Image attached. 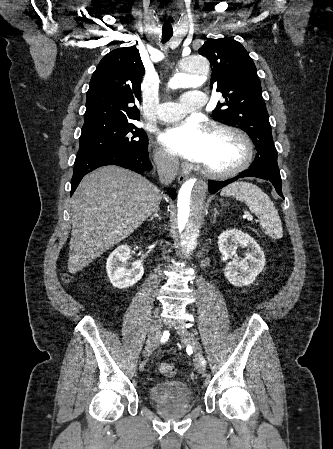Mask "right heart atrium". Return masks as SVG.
Returning a JSON list of instances; mask_svg holds the SVG:
<instances>
[{"label":"right heart atrium","mask_w":333,"mask_h":449,"mask_svg":"<svg viewBox=\"0 0 333 449\" xmlns=\"http://www.w3.org/2000/svg\"><path fill=\"white\" fill-rule=\"evenodd\" d=\"M154 161L158 168L165 172L174 173L179 168L178 159L163 148H156Z\"/></svg>","instance_id":"1"}]
</instances>
